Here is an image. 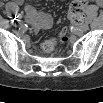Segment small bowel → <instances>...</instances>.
<instances>
[{
  "label": "small bowel",
  "mask_w": 103,
  "mask_h": 103,
  "mask_svg": "<svg viewBox=\"0 0 103 103\" xmlns=\"http://www.w3.org/2000/svg\"><path fill=\"white\" fill-rule=\"evenodd\" d=\"M25 13L26 21L32 26L35 33H37L39 30L48 29L53 24V20L50 15L39 12L31 5L25 6Z\"/></svg>",
  "instance_id": "c3829d8e"
}]
</instances>
